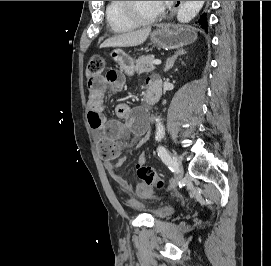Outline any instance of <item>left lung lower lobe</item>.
<instances>
[{
    "instance_id": "left-lung-lower-lobe-1",
    "label": "left lung lower lobe",
    "mask_w": 271,
    "mask_h": 266,
    "mask_svg": "<svg viewBox=\"0 0 271 266\" xmlns=\"http://www.w3.org/2000/svg\"><path fill=\"white\" fill-rule=\"evenodd\" d=\"M199 23L201 24L202 28L207 30V20L205 14L201 16Z\"/></svg>"
}]
</instances>
